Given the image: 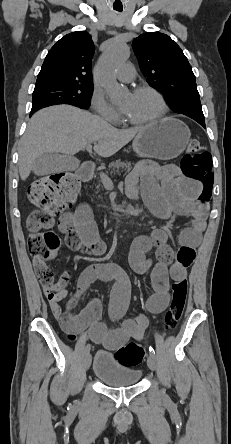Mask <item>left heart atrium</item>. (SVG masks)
<instances>
[{
    "instance_id": "39dd6f15",
    "label": "left heart atrium",
    "mask_w": 231,
    "mask_h": 444,
    "mask_svg": "<svg viewBox=\"0 0 231 444\" xmlns=\"http://www.w3.org/2000/svg\"><path fill=\"white\" fill-rule=\"evenodd\" d=\"M122 109H123V111H125V110H126V107H125V106H123V107H122Z\"/></svg>"
}]
</instances>
